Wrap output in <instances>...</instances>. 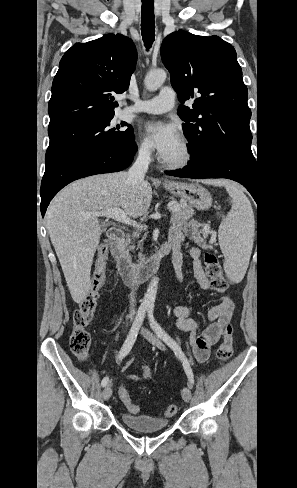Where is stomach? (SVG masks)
Masks as SVG:
<instances>
[{"instance_id": "0dacf381", "label": "stomach", "mask_w": 297, "mask_h": 488, "mask_svg": "<svg viewBox=\"0 0 297 488\" xmlns=\"http://www.w3.org/2000/svg\"><path fill=\"white\" fill-rule=\"evenodd\" d=\"M164 186L171 194L180 197L198 210H208L212 205L211 194L198 183L169 182Z\"/></svg>"}]
</instances>
